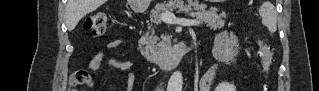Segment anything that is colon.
I'll return each instance as SVG.
<instances>
[{"label":"colon","mask_w":319,"mask_h":91,"mask_svg":"<svg viewBox=\"0 0 319 91\" xmlns=\"http://www.w3.org/2000/svg\"><path fill=\"white\" fill-rule=\"evenodd\" d=\"M83 26L91 33L92 36H102L107 30L108 16L104 12H95L85 19ZM260 46L262 69L267 75H269L272 71L274 62V49L264 38L260 40ZM79 83L88 85V80H83L82 78Z\"/></svg>","instance_id":"1"}]
</instances>
